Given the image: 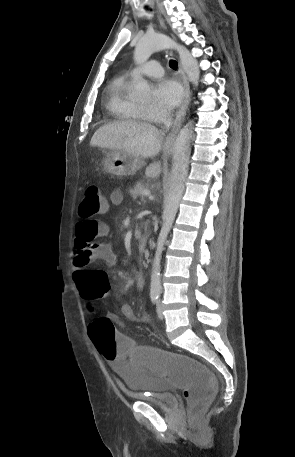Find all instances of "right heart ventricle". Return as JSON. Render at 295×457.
<instances>
[{
  "mask_svg": "<svg viewBox=\"0 0 295 457\" xmlns=\"http://www.w3.org/2000/svg\"><path fill=\"white\" fill-rule=\"evenodd\" d=\"M128 80H115L107 90V108L119 121L139 122L145 120L142 105L129 96Z\"/></svg>",
  "mask_w": 295,
  "mask_h": 457,
  "instance_id": "obj_1",
  "label": "right heart ventricle"
}]
</instances>
